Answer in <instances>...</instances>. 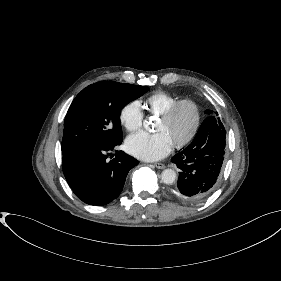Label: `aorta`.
Returning <instances> with one entry per match:
<instances>
[{"mask_svg": "<svg viewBox=\"0 0 281 281\" xmlns=\"http://www.w3.org/2000/svg\"><path fill=\"white\" fill-rule=\"evenodd\" d=\"M176 178L177 174L173 169H165L161 173V180L165 184H173L176 181Z\"/></svg>", "mask_w": 281, "mask_h": 281, "instance_id": "obj_1", "label": "aorta"}]
</instances>
